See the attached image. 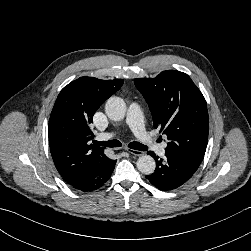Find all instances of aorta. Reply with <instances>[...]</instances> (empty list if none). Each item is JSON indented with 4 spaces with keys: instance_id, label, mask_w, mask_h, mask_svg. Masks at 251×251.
Instances as JSON below:
<instances>
[{
    "instance_id": "762f6f07",
    "label": "aorta",
    "mask_w": 251,
    "mask_h": 251,
    "mask_svg": "<svg viewBox=\"0 0 251 251\" xmlns=\"http://www.w3.org/2000/svg\"><path fill=\"white\" fill-rule=\"evenodd\" d=\"M105 112L113 121H121L126 114V104L120 97H110L105 104ZM138 170L145 175L154 173L156 162L153 157L143 155L136 162Z\"/></svg>"
}]
</instances>
